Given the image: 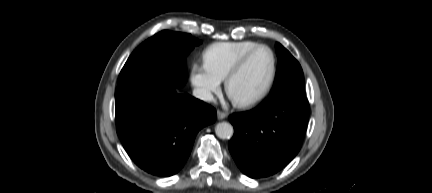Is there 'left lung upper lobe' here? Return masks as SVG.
<instances>
[{"mask_svg":"<svg viewBox=\"0 0 432 193\" xmlns=\"http://www.w3.org/2000/svg\"><path fill=\"white\" fill-rule=\"evenodd\" d=\"M278 69L273 96H303L305 97L303 71L298 61L281 44H276Z\"/></svg>","mask_w":432,"mask_h":193,"instance_id":"1","label":"left lung upper lobe"}]
</instances>
